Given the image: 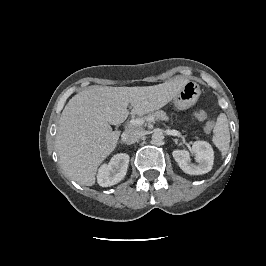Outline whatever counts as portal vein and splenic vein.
<instances>
[{
  "mask_svg": "<svg viewBox=\"0 0 266 266\" xmlns=\"http://www.w3.org/2000/svg\"><path fill=\"white\" fill-rule=\"evenodd\" d=\"M155 118L154 117H148L147 119H141V118H138V119H132L130 121V124L132 126H142L144 124L145 121H154Z\"/></svg>",
  "mask_w": 266,
  "mask_h": 266,
  "instance_id": "obj_1",
  "label": "portal vein and splenic vein"
}]
</instances>
